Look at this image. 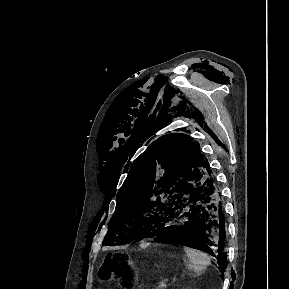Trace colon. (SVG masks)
I'll return each instance as SVG.
<instances>
[{
    "label": "colon",
    "instance_id": "1",
    "mask_svg": "<svg viewBox=\"0 0 289 289\" xmlns=\"http://www.w3.org/2000/svg\"><path fill=\"white\" fill-rule=\"evenodd\" d=\"M101 282H111L123 289H130L134 286L136 275L133 268L127 266L120 256L108 254L105 263L98 271Z\"/></svg>",
    "mask_w": 289,
    "mask_h": 289
}]
</instances>
